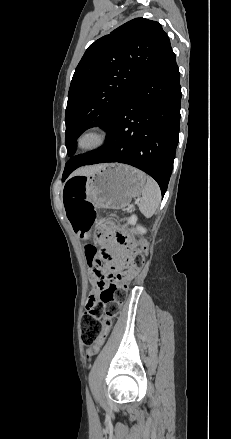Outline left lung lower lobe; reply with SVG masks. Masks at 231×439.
Masks as SVG:
<instances>
[{"label": "left lung lower lobe", "instance_id": "1", "mask_svg": "<svg viewBox=\"0 0 231 439\" xmlns=\"http://www.w3.org/2000/svg\"><path fill=\"white\" fill-rule=\"evenodd\" d=\"M180 104V73L171 49L114 113L105 145L72 157L68 174L84 165L125 163L153 177L164 195L179 141Z\"/></svg>", "mask_w": 231, "mask_h": 439}]
</instances>
